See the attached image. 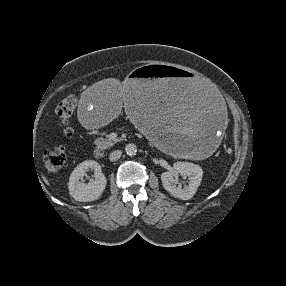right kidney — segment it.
I'll list each match as a JSON object with an SVG mask.
<instances>
[{"label":"right kidney","instance_id":"1","mask_svg":"<svg viewBox=\"0 0 286 286\" xmlns=\"http://www.w3.org/2000/svg\"><path fill=\"white\" fill-rule=\"evenodd\" d=\"M94 170L95 179L89 183L81 182L80 179L89 170ZM107 184L106 177L101 171V166L94 160H86L80 163L71 173L68 188L70 195L79 202H90L98 199Z\"/></svg>","mask_w":286,"mask_h":286}]
</instances>
